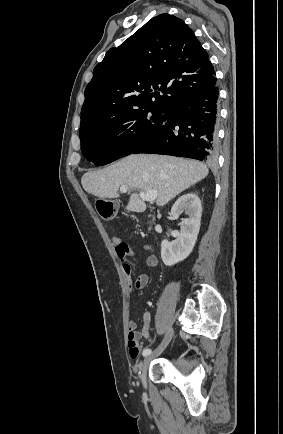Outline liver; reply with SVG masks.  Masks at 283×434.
Returning <instances> with one entry per match:
<instances>
[{"instance_id":"6515ba94","label":"liver","mask_w":283,"mask_h":434,"mask_svg":"<svg viewBox=\"0 0 283 434\" xmlns=\"http://www.w3.org/2000/svg\"><path fill=\"white\" fill-rule=\"evenodd\" d=\"M206 165L194 160L154 155L131 154L113 165L88 171L81 178L84 190L99 198H117L125 185L133 193L126 206L128 211L144 212L146 204L135 191L155 190L156 204L166 205L175 196L204 179Z\"/></svg>"}]
</instances>
